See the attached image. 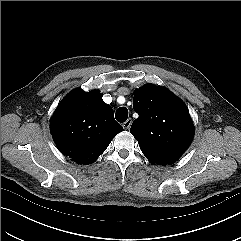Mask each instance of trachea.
I'll return each mask as SVG.
<instances>
[{"label": "trachea", "instance_id": "1", "mask_svg": "<svg viewBox=\"0 0 241 241\" xmlns=\"http://www.w3.org/2000/svg\"><path fill=\"white\" fill-rule=\"evenodd\" d=\"M116 120L120 123H123L128 118V110L126 107H120L115 113Z\"/></svg>", "mask_w": 241, "mask_h": 241}]
</instances>
